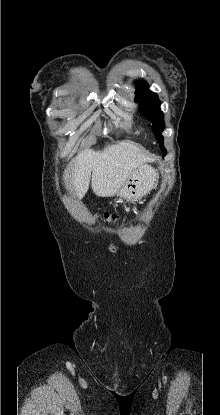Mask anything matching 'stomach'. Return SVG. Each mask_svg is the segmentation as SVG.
Here are the masks:
<instances>
[{"instance_id": "0dacf381", "label": "stomach", "mask_w": 220, "mask_h": 415, "mask_svg": "<svg viewBox=\"0 0 220 415\" xmlns=\"http://www.w3.org/2000/svg\"><path fill=\"white\" fill-rule=\"evenodd\" d=\"M158 175L149 165H141L134 170L117 195L126 200H136L146 195L155 185Z\"/></svg>"}]
</instances>
